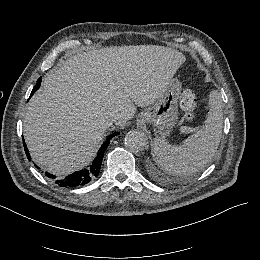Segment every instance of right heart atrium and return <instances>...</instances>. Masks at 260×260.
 <instances>
[{"mask_svg": "<svg viewBox=\"0 0 260 260\" xmlns=\"http://www.w3.org/2000/svg\"><path fill=\"white\" fill-rule=\"evenodd\" d=\"M73 88H74V87H73ZM173 88H174V87H173ZM74 95H75V94H74ZM172 95H173V94H172ZM75 98H76V97H75ZM171 98H172V97H171ZM76 101H77V100H76ZM170 101H171V100H170ZM77 104H78V103H77ZM169 104H170V103H169ZM78 106H79V105H78ZM168 106H169V105H168ZM79 108H80V107H79ZM167 108H168V107H167ZM167 108H166V109H167ZM80 109H81V108H80ZM81 111H82V110H81ZM165 111H166V110H165ZM82 113H83V112H82ZM164 113H165V112H164ZM164 113H163V114H164ZM83 114H84V113H83ZM163 114H162V115H163ZM84 115H85V114H84ZM162 115H161V116H162ZM85 116H86V115H85ZM161 116H160V117H161ZM86 117H87V116H86ZM87 119H88V118H87ZM159 119H160V118H159ZM159 119H157V120H159ZM88 120H90V119H88ZM157 120H156V121H157ZM90 121H91V120H90ZM156 121H155V122H156ZM91 122H92V121H91ZM155 122H154V123H155ZM92 123H93V122H92ZM154 123H153V124H154ZM93 124H94V123H93ZM153 124H151V125H153ZM94 125H96V124H94ZM151 125H149V126H151ZM96 126H98V125H96ZM149 126H148V127H149ZM98 127H99V126H98ZM148 127H146V128H148ZM99 128H101V127H99ZM146 128H144V129H146ZM101 129H103V128H101ZM144 129H141V130H144ZM103 130H106V129H103ZM141 130H138V131H141ZM106 131H109V130H106ZM138 131H135V132H138ZM109 132H112V131H109ZM135 132H128V133H135ZM112 133H119V132H112ZM128 133H119V134H128Z\"/></svg>", "mask_w": 260, "mask_h": 260, "instance_id": "right-heart-atrium-1", "label": "right heart atrium"}]
</instances>
